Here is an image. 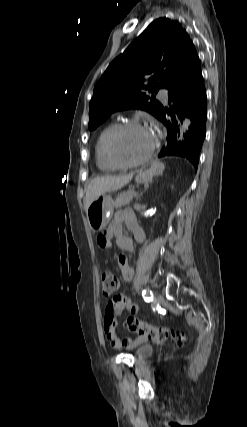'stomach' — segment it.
Segmentation results:
<instances>
[{"instance_id": "stomach-1", "label": "stomach", "mask_w": 247, "mask_h": 427, "mask_svg": "<svg viewBox=\"0 0 247 427\" xmlns=\"http://www.w3.org/2000/svg\"><path fill=\"white\" fill-rule=\"evenodd\" d=\"M164 166L151 167L147 171H142L136 176V182L139 184H148L154 175L163 172ZM114 210V202L110 195L101 194L97 197L86 210L89 227L92 231L98 232L104 229Z\"/></svg>"}]
</instances>
